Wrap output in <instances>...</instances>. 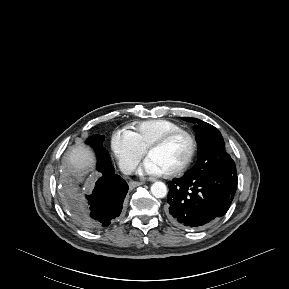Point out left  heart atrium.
Masks as SVG:
<instances>
[{
	"mask_svg": "<svg viewBox=\"0 0 289 289\" xmlns=\"http://www.w3.org/2000/svg\"><path fill=\"white\" fill-rule=\"evenodd\" d=\"M141 173L147 176H160L164 174L162 170L149 158H147L143 163Z\"/></svg>",
	"mask_w": 289,
	"mask_h": 289,
	"instance_id": "1",
	"label": "left heart atrium"
}]
</instances>
